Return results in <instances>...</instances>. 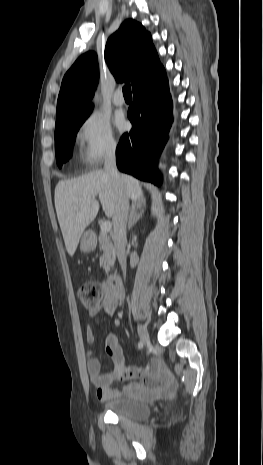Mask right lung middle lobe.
<instances>
[{
  "label": "right lung middle lobe",
  "mask_w": 263,
  "mask_h": 465,
  "mask_svg": "<svg viewBox=\"0 0 263 465\" xmlns=\"http://www.w3.org/2000/svg\"><path fill=\"white\" fill-rule=\"evenodd\" d=\"M93 108L79 110L71 113L60 122L56 123L55 129V153L56 162L61 168L62 164L70 159L76 134L88 118Z\"/></svg>",
  "instance_id": "1"
}]
</instances>
